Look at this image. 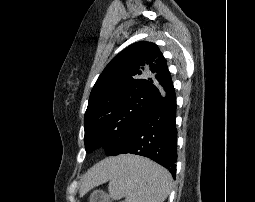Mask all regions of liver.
<instances>
[{
	"label": "liver",
	"mask_w": 255,
	"mask_h": 202,
	"mask_svg": "<svg viewBox=\"0 0 255 202\" xmlns=\"http://www.w3.org/2000/svg\"><path fill=\"white\" fill-rule=\"evenodd\" d=\"M125 156L108 158L96 164L82 178V191H87L90 188L101 184L108 179L109 168L118 165Z\"/></svg>",
	"instance_id": "1"
}]
</instances>
